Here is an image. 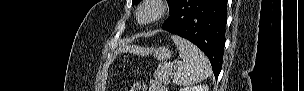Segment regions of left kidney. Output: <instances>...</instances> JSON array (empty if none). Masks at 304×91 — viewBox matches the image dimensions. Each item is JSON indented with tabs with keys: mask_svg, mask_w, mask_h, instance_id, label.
Wrapping results in <instances>:
<instances>
[{
	"mask_svg": "<svg viewBox=\"0 0 304 91\" xmlns=\"http://www.w3.org/2000/svg\"><path fill=\"white\" fill-rule=\"evenodd\" d=\"M209 87L207 85H197L181 88L180 91H208Z\"/></svg>",
	"mask_w": 304,
	"mask_h": 91,
	"instance_id": "obj_1",
	"label": "left kidney"
}]
</instances>
